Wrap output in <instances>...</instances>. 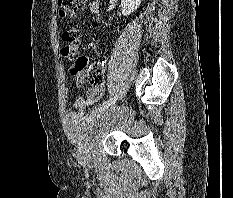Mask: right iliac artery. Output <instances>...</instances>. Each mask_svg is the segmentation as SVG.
I'll list each match as a JSON object with an SVG mask.
<instances>
[{
  "label": "right iliac artery",
  "mask_w": 233,
  "mask_h": 198,
  "mask_svg": "<svg viewBox=\"0 0 233 198\" xmlns=\"http://www.w3.org/2000/svg\"><path fill=\"white\" fill-rule=\"evenodd\" d=\"M117 98H118V96L115 95L114 97L110 98L109 100L103 102L102 107H108V106L112 105L113 103H115Z\"/></svg>",
  "instance_id": "obj_1"
}]
</instances>
